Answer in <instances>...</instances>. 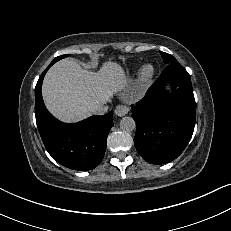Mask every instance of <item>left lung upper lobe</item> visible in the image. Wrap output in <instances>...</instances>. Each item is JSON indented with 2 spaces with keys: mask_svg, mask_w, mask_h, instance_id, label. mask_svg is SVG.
Returning <instances> with one entry per match:
<instances>
[{
  "mask_svg": "<svg viewBox=\"0 0 231 231\" xmlns=\"http://www.w3.org/2000/svg\"><path fill=\"white\" fill-rule=\"evenodd\" d=\"M160 54L162 55L164 63L167 64V65L170 64V63L177 62V60L172 55H170L168 53L160 51Z\"/></svg>",
  "mask_w": 231,
  "mask_h": 231,
  "instance_id": "obj_1",
  "label": "left lung upper lobe"
}]
</instances>
